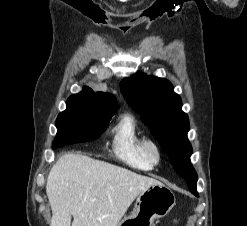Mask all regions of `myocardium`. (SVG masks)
<instances>
[{
	"label": "myocardium",
	"mask_w": 247,
	"mask_h": 226,
	"mask_svg": "<svg viewBox=\"0 0 247 226\" xmlns=\"http://www.w3.org/2000/svg\"><path fill=\"white\" fill-rule=\"evenodd\" d=\"M143 151L146 159L152 164L157 165L161 161V150L159 145L150 139L144 140Z\"/></svg>",
	"instance_id": "f54148a6"
}]
</instances>
